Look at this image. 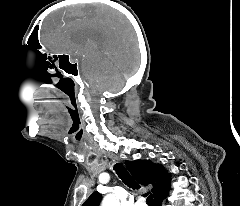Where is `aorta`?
I'll list each match as a JSON object with an SVG mask.
<instances>
[{
  "label": "aorta",
  "instance_id": "aorta-1",
  "mask_svg": "<svg viewBox=\"0 0 240 206\" xmlns=\"http://www.w3.org/2000/svg\"><path fill=\"white\" fill-rule=\"evenodd\" d=\"M102 206H120L119 201L113 195H107L102 201Z\"/></svg>",
  "mask_w": 240,
  "mask_h": 206
}]
</instances>
